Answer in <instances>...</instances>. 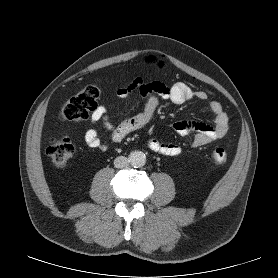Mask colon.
Listing matches in <instances>:
<instances>
[{
	"instance_id": "obj_1",
	"label": "colon",
	"mask_w": 278,
	"mask_h": 278,
	"mask_svg": "<svg viewBox=\"0 0 278 278\" xmlns=\"http://www.w3.org/2000/svg\"><path fill=\"white\" fill-rule=\"evenodd\" d=\"M150 61L157 59L150 57ZM100 97V88L97 83L88 85L83 91L68 100L61 108L59 117L62 121L78 122L89 117L98 105ZM75 152L74 145L68 138L53 139L49 142L46 148V155L51 162L62 168L73 157ZM211 162L218 166H223L228 162L226 151L217 147L214 148L209 155Z\"/></svg>"
}]
</instances>
